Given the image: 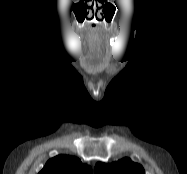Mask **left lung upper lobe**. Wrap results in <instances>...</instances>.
Wrapping results in <instances>:
<instances>
[{"mask_svg":"<svg viewBox=\"0 0 187 174\" xmlns=\"http://www.w3.org/2000/svg\"><path fill=\"white\" fill-rule=\"evenodd\" d=\"M95 174H145L141 165L124 158L111 164L97 163L94 169Z\"/></svg>","mask_w":187,"mask_h":174,"instance_id":"5c2ea615","label":"left lung upper lobe"}]
</instances>
